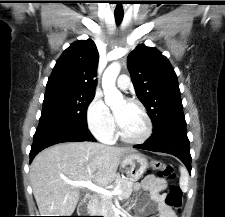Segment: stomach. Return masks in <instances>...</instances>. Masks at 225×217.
Returning <instances> with one entry per match:
<instances>
[{"instance_id": "1", "label": "stomach", "mask_w": 225, "mask_h": 217, "mask_svg": "<svg viewBox=\"0 0 225 217\" xmlns=\"http://www.w3.org/2000/svg\"><path fill=\"white\" fill-rule=\"evenodd\" d=\"M148 167L147 158L141 153H130L121 159L123 172L131 179L137 180Z\"/></svg>"}]
</instances>
